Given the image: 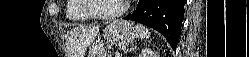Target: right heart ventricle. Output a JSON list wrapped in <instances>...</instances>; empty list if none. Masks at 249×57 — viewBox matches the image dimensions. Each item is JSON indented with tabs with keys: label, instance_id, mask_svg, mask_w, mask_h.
I'll return each mask as SVG.
<instances>
[{
	"label": "right heart ventricle",
	"instance_id": "1",
	"mask_svg": "<svg viewBox=\"0 0 249 57\" xmlns=\"http://www.w3.org/2000/svg\"><path fill=\"white\" fill-rule=\"evenodd\" d=\"M82 0H69L66 8V17L71 21H86L90 19L81 8Z\"/></svg>",
	"mask_w": 249,
	"mask_h": 57
}]
</instances>
